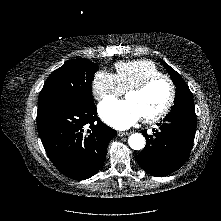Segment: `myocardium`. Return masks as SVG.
<instances>
[{
    "label": "myocardium",
    "mask_w": 221,
    "mask_h": 221,
    "mask_svg": "<svg viewBox=\"0 0 221 221\" xmlns=\"http://www.w3.org/2000/svg\"><path fill=\"white\" fill-rule=\"evenodd\" d=\"M160 80H164L168 83L169 88H170L169 98H168L166 104L164 105V107L158 113H156L152 116H147V117L141 118L142 121L145 123L158 122V121L162 120L169 113V111L171 110V108L175 102V98H176V87H175L174 82L167 75H163V74L155 75V76H151V77L147 78L146 80L142 81L138 85L133 86L127 90V93H142L145 90H147L151 85H153L155 82L160 81Z\"/></svg>",
    "instance_id": "obj_1"
}]
</instances>
